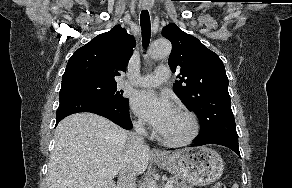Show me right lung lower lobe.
Returning a JSON list of instances; mask_svg holds the SVG:
<instances>
[{
    "instance_id": "1",
    "label": "right lung lower lobe",
    "mask_w": 292,
    "mask_h": 188,
    "mask_svg": "<svg viewBox=\"0 0 292 188\" xmlns=\"http://www.w3.org/2000/svg\"><path fill=\"white\" fill-rule=\"evenodd\" d=\"M59 102L56 125L68 115L90 112L108 118L124 129H131L133 127L129 116L128 102L121 106H110L91 96L76 92L59 95Z\"/></svg>"
}]
</instances>
